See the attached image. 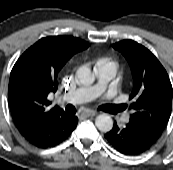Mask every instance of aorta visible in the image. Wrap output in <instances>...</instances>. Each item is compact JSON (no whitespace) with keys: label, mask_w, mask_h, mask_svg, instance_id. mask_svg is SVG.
I'll return each mask as SVG.
<instances>
[{"label":"aorta","mask_w":173,"mask_h":170,"mask_svg":"<svg viewBox=\"0 0 173 170\" xmlns=\"http://www.w3.org/2000/svg\"><path fill=\"white\" fill-rule=\"evenodd\" d=\"M76 76L84 85H90L95 80L94 74L88 67H80ZM95 125L100 131L109 132L113 128V120L108 114H100L95 119Z\"/></svg>","instance_id":"762f6f07"}]
</instances>
